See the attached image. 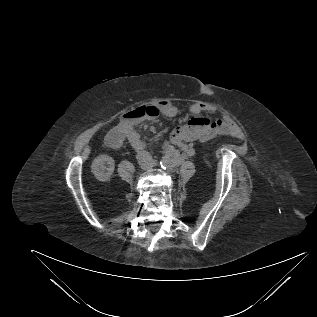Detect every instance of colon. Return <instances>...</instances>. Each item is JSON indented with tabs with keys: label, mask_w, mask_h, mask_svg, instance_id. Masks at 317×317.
<instances>
[{
	"label": "colon",
	"mask_w": 317,
	"mask_h": 317,
	"mask_svg": "<svg viewBox=\"0 0 317 317\" xmlns=\"http://www.w3.org/2000/svg\"><path fill=\"white\" fill-rule=\"evenodd\" d=\"M159 115V109L154 105L141 106L131 112L130 117L132 120L153 119Z\"/></svg>",
	"instance_id": "colon-1"
}]
</instances>
